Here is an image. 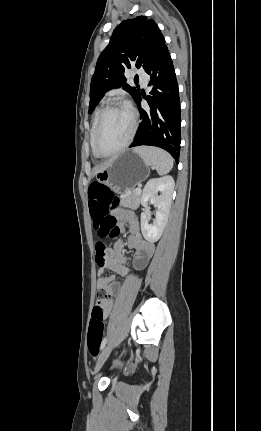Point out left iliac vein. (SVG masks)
<instances>
[{
  "instance_id": "left-iliac-vein-1",
  "label": "left iliac vein",
  "mask_w": 261,
  "mask_h": 431,
  "mask_svg": "<svg viewBox=\"0 0 261 431\" xmlns=\"http://www.w3.org/2000/svg\"><path fill=\"white\" fill-rule=\"evenodd\" d=\"M111 351H112V346L110 344L107 345L103 349V351L101 352L100 356L98 357V360H97L95 368H94V373L95 374L101 369V367L103 366V364L107 360L108 356L110 355Z\"/></svg>"
}]
</instances>
